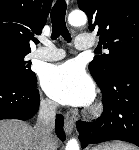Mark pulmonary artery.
Wrapping results in <instances>:
<instances>
[{"label": "pulmonary artery", "mask_w": 139, "mask_h": 150, "mask_svg": "<svg viewBox=\"0 0 139 150\" xmlns=\"http://www.w3.org/2000/svg\"><path fill=\"white\" fill-rule=\"evenodd\" d=\"M44 46L34 52V57L43 61H56L64 58L65 52L56 48L51 42L43 41ZM76 48L78 50H89L95 46L93 39L87 35H79L76 39Z\"/></svg>", "instance_id": "1"}]
</instances>
